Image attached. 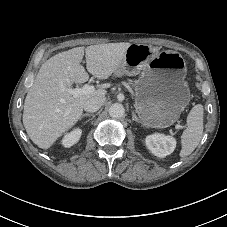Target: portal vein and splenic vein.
Returning <instances> with one entry per match:
<instances>
[{"instance_id":"18ae733b","label":"portal vein and splenic vein","mask_w":227,"mask_h":227,"mask_svg":"<svg viewBox=\"0 0 227 227\" xmlns=\"http://www.w3.org/2000/svg\"><path fill=\"white\" fill-rule=\"evenodd\" d=\"M66 91L68 93H70L71 95H73L74 97H77L79 95H84V94H90L94 91V86H91L89 84H85L83 87L81 88H68L66 89ZM176 129H183L184 126L176 124L175 125Z\"/></svg>"}]
</instances>
